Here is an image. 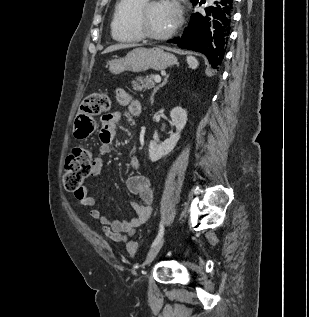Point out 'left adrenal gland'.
I'll return each mask as SVG.
<instances>
[{
    "label": "left adrenal gland",
    "instance_id": "a2214340",
    "mask_svg": "<svg viewBox=\"0 0 309 317\" xmlns=\"http://www.w3.org/2000/svg\"><path fill=\"white\" fill-rule=\"evenodd\" d=\"M168 78H169V74L165 77L164 81L153 90L151 95V101H153L154 95L158 91V89L163 87L167 83Z\"/></svg>",
    "mask_w": 309,
    "mask_h": 317
}]
</instances>
